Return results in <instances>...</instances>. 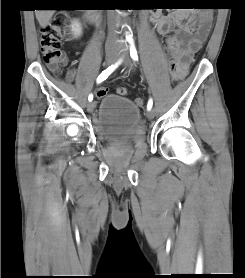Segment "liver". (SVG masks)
I'll return each mask as SVG.
<instances>
[{
	"instance_id": "1",
	"label": "liver",
	"mask_w": 245,
	"mask_h": 278,
	"mask_svg": "<svg viewBox=\"0 0 245 278\" xmlns=\"http://www.w3.org/2000/svg\"><path fill=\"white\" fill-rule=\"evenodd\" d=\"M54 14V10H36L35 15L40 26L45 28Z\"/></svg>"
}]
</instances>
